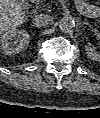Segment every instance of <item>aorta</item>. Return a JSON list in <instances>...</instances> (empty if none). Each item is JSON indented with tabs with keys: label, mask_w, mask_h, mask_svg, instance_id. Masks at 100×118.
<instances>
[{
	"label": "aorta",
	"mask_w": 100,
	"mask_h": 118,
	"mask_svg": "<svg viewBox=\"0 0 100 118\" xmlns=\"http://www.w3.org/2000/svg\"><path fill=\"white\" fill-rule=\"evenodd\" d=\"M59 28L64 33H69L75 28V20L71 16H64L59 21Z\"/></svg>",
	"instance_id": "aorta-1"
}]
</instances>
